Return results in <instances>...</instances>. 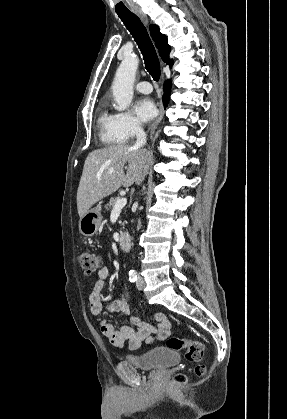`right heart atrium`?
Returning a JSON list of instances; mask_svg holds the SVG:
<instances>
[{
    "instance_id": "1",
    "label": "right heart atrium",
    "mask_w": 287,
    "mask_h": 419,
    "mask_svg": "<svg viewBox=\"0 0 287 419\" xmlns=\"http://www.w3.org/2000/svg\"><path fill=\"white\" fill-rule=\"evenodd\" d=\"M116 128L126 142L142 133V124L130 112L122 111L115 114Z\"/></svg>"
}]
</instances>
